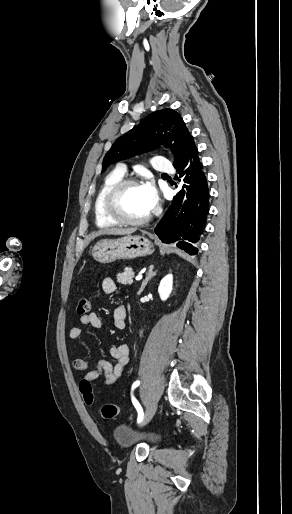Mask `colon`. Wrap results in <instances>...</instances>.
Returning <instances> with one entry per match:
<instances>
[{"label": "colon", "mask_w": 292, "mask_h": 514, "mask_svg": "<svg viewBox=\"0 0 292 514\" xmlns=\"http://www.w3.org/2000/svg\"><path fill=\"white\" fill-rule=\"evenodd\" d=\"M91 302L87 298L80 299L76 304L77 314L82 316L86 315L90 312ZM79 393L84 395L85 401L87 403H94L95 397L92 394V385L90 381H82L80 383ZM100 415L104 419H112L118 414V408L115 404L112 403H104L100 406Z\"/></svg>", "instance_id": "1"}]
</instances>
